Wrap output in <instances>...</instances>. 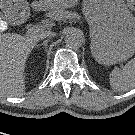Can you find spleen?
<instances>
[{"label":"spleen","mask_w":135,"mask_h":135,"mask_svg":"<svg viewBox=\"0 0 135 135\" xmlns=\"http://www.w3.org/2000/svg\"><path fill=\"white\" fill-rule=\"evenodd\" d=\"M110 85L119 92L129 91L135 87V58L128 61L122 69L116 68L111 72Z\"/></svg>","instance_id":"3e777b00"}]
</instances>
